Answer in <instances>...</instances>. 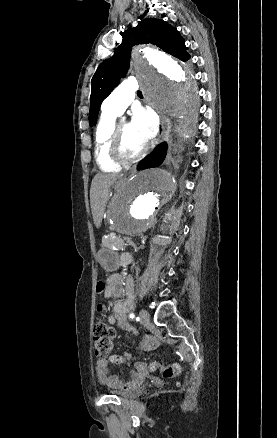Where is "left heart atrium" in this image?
<instances>
[{
	"label": "left heart atrium",
	"mask_w": 277,
	"mask_h": 438,
	"mask_svg": "<svg viewBox=\"0 0 277 438\" xmlns=\"http://www.w3.org/2000/svg\"><path fill=\"white\" fill-rule=\"evenodd\" d=\"M131 126L144 148L154 135L156 129V123L152 113L143 108L135 109L133 111Z\"/></svg>",
	"instance_id": "left-heart-atrium-1"
}]
</instances>
